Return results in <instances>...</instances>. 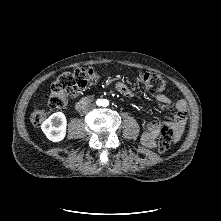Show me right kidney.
Masks as SVG:
<instances>
[{
  "mask_svg": "<svg viewBox=\"0 0 221 221\" xmlns=\"http://www.w3.org/2000/svg\"><path fill=\"white\" fill-rule=\"evenodd\" d=\"M67 120L62 112H57L48 117L41 125L46 137L53 142L62 141L66 135Z\"/></svg>",
  "mask_w": 221,
  "mask_h": 221,
  "instance_id": "right-kidney-1",
  "label": "right kidney"
}]
</instances>
